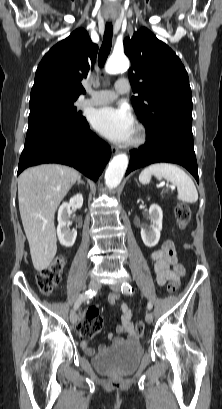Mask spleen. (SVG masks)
Masks as SVG:
<instances>
[{
    "mask_svg": "<svg viewBox=\"0 0 222 409\" xmlns=\"http://www.w3.org/2000/svg\"><path fill=\"white\" fill-rule=\"evenodd\" d=\"M154 175L157 179H166L177 187V198L183 202L195 203L198 200V192L192 179L180 167L170 163L152 164L140 173L141 184H149Z\"/></svg>",
    "mask_w": 222,
    "mask_h": 409,
    "instance_id": "spleen-1",
    "label": "spleen"
}]
</instances>
